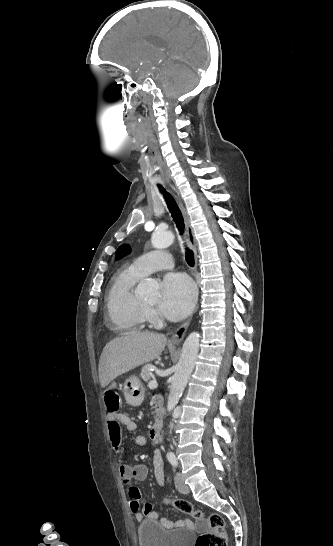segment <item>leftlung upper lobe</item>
Returning a JSON list of instances; mask_svg holds the SVG:
<instances>
[{
  "label": "left lung upper lobe",
  "instance_id": "left-lung-upper-lobe-1",
  "mask_svg": "<svg viewBox=\"0 0 333 546\" xmlns=\"http://www.w3.org/2000/svg\"><path fill=\"white\" fill-rule=\"evenodd\" d=\"M128 253H130V246L124 244L118 248L115 254H116V258L119 259L123 257L124 255H127Z\"/></svg>",
  "mask_w": 333,
  "mask_h": 546
}]
</instances>
